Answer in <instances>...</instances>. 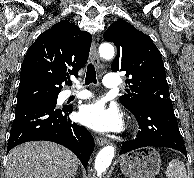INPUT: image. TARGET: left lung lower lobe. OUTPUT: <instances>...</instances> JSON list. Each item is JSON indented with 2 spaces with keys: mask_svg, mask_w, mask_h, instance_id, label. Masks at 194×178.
I'll list each match as a JSON object with an SVG mask.
<instances>
[{
  "mask_svg": "<svg viewBox=\"0 0 194 178\" xmlns=\"http://www.w3.org/2000/svg\"><path fill=\"white\" fill-rule=\"evenodd\" d=\"M132 113L139 123L140 131L135 139L122 143L120 154L154 146L173 148L187 157L170 99L138 101Z\"/></svg>",
  "mask_w": 194,
  "mask_h": 178,
  "instance_id": "0a47b994",
  "label": "left lung lower lobe"
}]
</instances>
